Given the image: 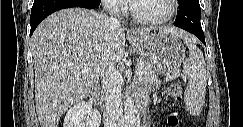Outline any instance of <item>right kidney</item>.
<instances>
[{
	"instance_id": "1",
	"label": "right kidney",
	"mask_w": 243,
	"mask_h": 127,
	"mask_svg": "<svg viewBox=\"0 0 243 127\" xmlns=\"http://www.w3.org/2000/svg\"><path fill=\"white\" fill-rule=\"evenodd\" d=\"M101 115L88 102L74 104L67 112L64 127H99Z\"/></svg>"
}]
</instances>
